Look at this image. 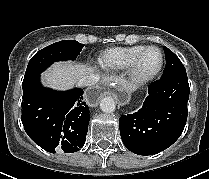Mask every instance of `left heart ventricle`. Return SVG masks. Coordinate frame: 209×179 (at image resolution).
<instances>
[{
  "mask_svg": "<svg viewBox=\"0 0 209 179\" xmlns=\"http://www.w3.org/2000/svg\"><path fill=\"white\" fill-rule=\"evenodd\" d=\"M160 63V53L156 49L147 50L141 57L138 64L140 74H148L157 69Z\"/></svg>",
  "mask_w": 209,
  "mask_h": 179,
  "instance_id": "1",
  "label": "left heart ventricle"
}]
</instances>
